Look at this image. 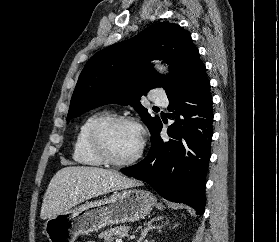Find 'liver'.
Instances as JSON below:
<instances>
[{
  "label": "liver",
  "instance_id": "1",
  "mask_svg": "<svg viewBox=\"0 0 279 242\" xmlns=\"http://www.w3.org/2000/svg\"><path fill=\"white\" fill-rule=\"evenodd\" d=\"M140 183L118 172L97 167L69 166L51 179L43 197L41 218L63 213L87 199Z\"/></svg>",
  "mask_w": 279,
  "mask_h": 242
}]
</instances>
